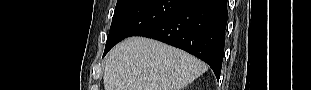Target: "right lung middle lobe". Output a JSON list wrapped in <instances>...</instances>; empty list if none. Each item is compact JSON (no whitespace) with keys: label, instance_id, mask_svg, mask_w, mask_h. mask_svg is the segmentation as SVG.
Here are the masks:
<instances>
[{"label":"right lung middle lobe","instance_id":"right-lung-middle-lobe-1","mask_svg":"<svg viewBox=\"0 0 311 90\" xmlns=\"http://www.w3.org/2000/svg\"><path fill=\"white\" fill-rule=\"evenodd\" d=\"M183 2L185 0H118L104 55L124 38L164 19Z\"/></svg>","mask_w":311,"mask_h":90}]
</instances>
